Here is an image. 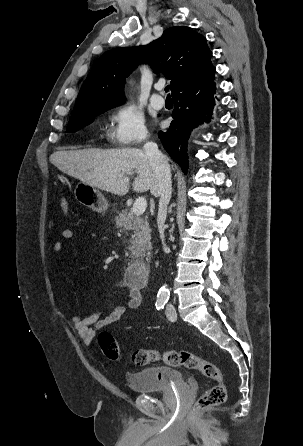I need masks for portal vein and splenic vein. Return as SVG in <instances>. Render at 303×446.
<instances>
[{"instance_id": "portal-vein-and-splenic-vein-1", "label": "portal vein and splenic vein", "mask_w": 303, "mask_h": 446, "mask_svg": "<svg viewBox=\"0 0 303 446\" xmlns=\"http://www.w3.org/2000/svg\"><path fill=\"white\" fill-rule=\"evenodd\" d=\"M147 208V201L144 197H139L136 199L134 205H133V213L136 216H140L144 214L145 210Z\"/></svg>"}]
</instances>
